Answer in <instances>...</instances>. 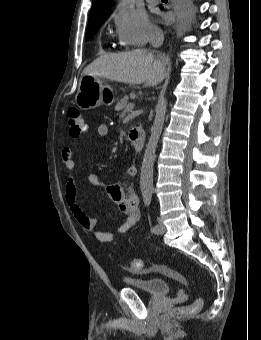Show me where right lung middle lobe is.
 <instances>
[{
	"label": "right lung middle lobe",
	"instance_id": "obj_1",
	"mask_svg": "<svg viewBox=\"0 0 261 340\" xmlns=\"http://www.w3.org/2000/svg\"><path fill=\"white\" fill-rule=\"evenodd\" d=\"M183 10H184L185 14H187V15L190 14L191 7H190L188 0L184 1ZM106 19L107 18L99 19V20H96V21L88 24L87 32H86V38H85L86 41H88L98 31V29L100 28V26L103 24V22Z\"/></svg>",
	"mask_w": 261,
	"mask_h": 340
}]
</instances>
